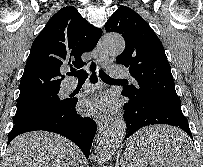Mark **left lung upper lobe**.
I'll return each mask as SVG.
<instances>
[{"label": "left lung upper lobe", "instance_id": "obj_1", "mask_svg": "<svg viewBox=\"0 0 203 167\" xmlns=\"http://www.w3.org/2000/svg\"><path fill=\"white\" fill-rule=\"evenodd\" d=\"M107 32L120 33L126 42L116 62L129 68L136 85L124 86L131 102L157 106L180 102L164 47L148 23L135 11L120 6L105 24Z\"/></svg>", "mask_w": 203, "mask_h": 167}]
</instances>
